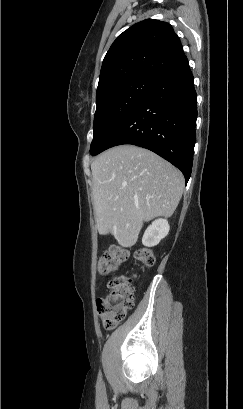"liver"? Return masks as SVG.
Returning <instances> with one entry per match:
<instances>
[{
  "label": "liver",
  "mask_w": 243,
  "mask_h": 409,
  "mask_svg": "<svg viewBox=\"0 0 243 409\" xmlns=\"http://www.w3.org/2000/svg\"><path fill=\"white\" fill-rule=\"evenodd\" d=\"M96 227L122 247L136 244L144 222L169 217L182 197V173L155 153L134 145L113 147L91 164Z\"/></svg>",
  "instance_id": "liver-1"
}]
</instances>
